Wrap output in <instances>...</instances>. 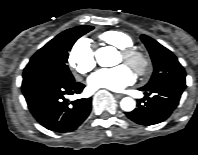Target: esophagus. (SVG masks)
<instances>
[{"label": "esophagus", "mask_w": 198, "mask_h": 155, "mask_svg": "<svg viewBox=\"0 0 198 155\" xmlns=\"http://www.w3.org/2000/svg\"><path fill=\"white\" fill-rule=\"evenodd\" d=\"M115 97L118 98V99H121V98L124 97V95L123 94H115Z\"/></svg>", "instance_id": "34e87169"}]
</instances>
